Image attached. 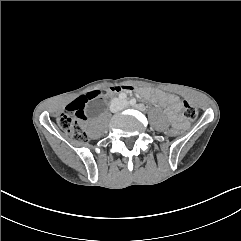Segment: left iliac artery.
<instances>
[{
	"label": "left iliac artery",
	"instance_id": "left-iliac-artery-1",
	"mask_svg": "<svg viewBox=\"0 0 241 241\" xmlns=\"http://www.w3.org/2000/svg\"><path fill=\"white\" fill-rule=\"evenodd\" d=\"M130 105L132 106H135L136 105V99L132 98L130 101H129Z\"/></svg>",
	"mask_w": 241,
	"mask_h": 241
}]
</instances>
